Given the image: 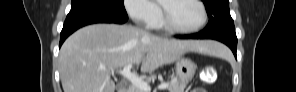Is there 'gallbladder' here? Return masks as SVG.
Segmentation results:
<instances>
[{"label":"gallbladder","mask_w":296,"mask_h":92,"mask_svg":"<svg viewBox=\"0 0 296 92\" xmlns=\"http://www.w3.org/2000/svg\"><path fill=\"white\" fill-rule=\"evenodd\" d=\"M117 87L121 88L122 86L120 85V86H117Z\"/></svg>","instance_id":"1"}]
</instances>
